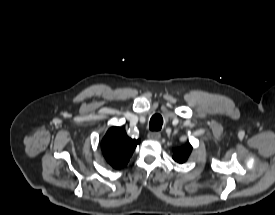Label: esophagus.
<instances>
[{"label": "esophagus", "instance_id": "1", "mask_svg": "<svg viewBox=\"0 0 275 215\" xmlns=\"http://www.w3.org/2000/svg\"><path fill=\"white\" fill-rule=\"evenodd\" d=\"M160 137H161V134H160L159 132H150V133L148 134V138H149L150 140H159Z\"/></svg>", "mask_w": 275, "mask_h": 215}]
</instances>
